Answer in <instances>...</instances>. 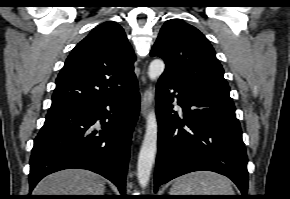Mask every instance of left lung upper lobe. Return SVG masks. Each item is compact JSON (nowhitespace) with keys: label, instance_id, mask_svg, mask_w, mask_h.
Listing matches in <instances>:
<instances>
[{"label":"left lung upper lobe","instance_id":"obj_1","mask_svg":"<svg viewBox=\"0 0 290 199\" xmlns=\"http://www.w3.org/2000/svg\"><path fill=\"white\" fill-rule=\"evenodd\" d=\"M150 55L164 59L166 69L162 76L187 88L232 101L215 51L195 27L177 19L167 21Z\"/></svg>","mask_w":290,"mask_h":199}]
</instances>
